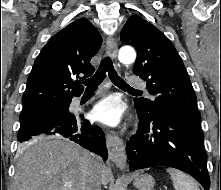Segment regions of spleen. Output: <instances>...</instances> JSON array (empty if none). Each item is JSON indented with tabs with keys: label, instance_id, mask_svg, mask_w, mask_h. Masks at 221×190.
Returning <instances> with one entry per match:
<instances>
[{
	"label": "spleen",
	"instance_id": "1",
	"mask_svg": "<svg viewBox=\"0 0 221 190\" xmlns=\"http://www.w3.org/2000/svg\"><path fill=\"white\" fill-rule=\"evenodd\" d=\"M175 190H200L197 183L180 170L168 168Z\"/></svg>",
	"mask_w": 221,
	"mask_h": 190
}]
</instances>
